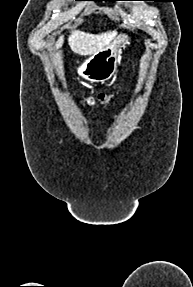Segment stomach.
Here are the masks:
<instances>
[{
    "instance_id": "1",
    "label": "stomach",
    "mask_w": 193,
    "mask_h": 287,
    "mask_svg": "<svg viewBox=\"0 0 193 287\" xmlns=\"http://www.w3.org/2000/svg\"><path fill=\"white\" fill-rule=\"evenodd\" d=\"M126 44H129L127 35L115 37L107 47L79 62L77 74L91 83L109 80L117 70L120 50Z\"/></svg>"
}]
</instances>
